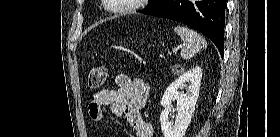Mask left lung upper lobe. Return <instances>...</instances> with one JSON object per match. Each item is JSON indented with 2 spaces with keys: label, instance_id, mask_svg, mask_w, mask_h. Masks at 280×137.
<instances>
[{
  "label": "left lung upper lobe",
  "instance_id": "1",
  "mask_svg": "<svg viewBox=\"0 0 280 137\" xmlns=\"http://www.w3.org/2000/svg\"><path fill=\"white\" fill-rule=\"evenodd\" d=\"M163 0H154L152 4H149L145 9L141 10L140 12L143 13L145 11H148L150 9H153L155 6L160 4Z\"/></svg>",
  "mask_w": 280,
  "mask_h": 137
}]
</instances>
